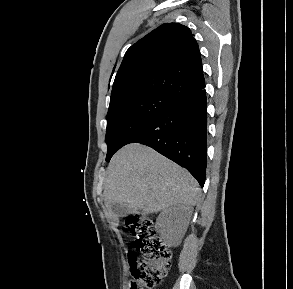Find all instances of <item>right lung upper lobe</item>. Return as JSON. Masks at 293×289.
Segmentation results:
<instances>
[{
  "instance_id": "right-lung-upper-lobe-1",
  "label": "right lung upper lobe",
  "mask_w": 293,
  "mask_h": 289,
  "mask_svg": "<svg viewBox=\"0 0 293 289\" xmlns=\"http://www.w3.org/2000/svg\"><path fill=\"white\" fill-rule=\"evenodd\" d=\"M205 88L200 51L190 29L165 23L133 44L116 74L110 105L141 95L173 103Z\"/></svg>"
}]
</instances>
